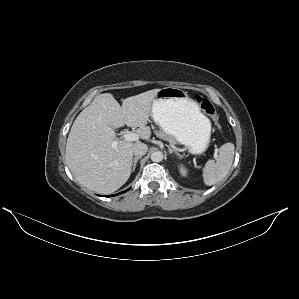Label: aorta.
<instances>
[{
  "mask_svg": "<svg viewBox=\"0 0 299 299\" xmlns=\"http://www.w3.org/2000/svg\"><path fill=\"white\" fill-rule=\"evenodd\" d=\"M151 160L153 162H160L163 160V153L161 151H155L151 154Z\"/></svg>",
  "mask_w": 299,
  "mask_h": 299,
  "instance_id": "1",
  "label": "aorta"
}]
</instances>
